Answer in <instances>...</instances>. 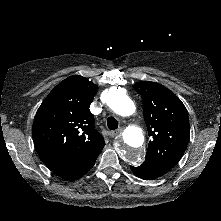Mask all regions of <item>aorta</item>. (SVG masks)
<instances>
[{
  "label": "aorta",
  "instance_id": "1",
  "mask_svg": "<svg viewBox=\"0 0 221 221\" xmlns=\"http://www.w3.org/2000/svg\"><path fill=\"white\" fill-rule=\"evenodd\" d=\"M108 106L118 115L127 117L135 112L134 102L122 89L112 88L108 93ZM144 134L137 126H128L119 140L118 152L128 164L137 165L143 158Z\"/></svg>",
  "mask_w": 221,
  "mask_h": 221
}]
</instances>
